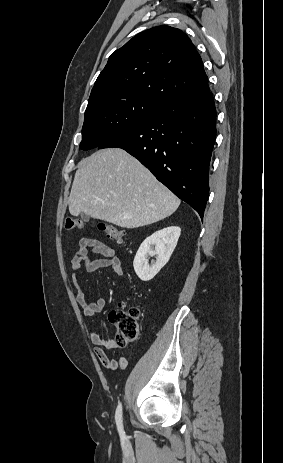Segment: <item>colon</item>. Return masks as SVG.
Instances as JSON below:
<instances>
[{"instance_id": "5ec220e1", "label": "colon", "mask_w": 283, "mask_h": 463, "mask_svg": "<svg viewBox=\"0 0 283 463\" xmlns=\"http://www.w3.org/2000/svg\"><path fill=\"white\" fill-rule=\"evenodd\" d=\"M83 226V221L77 218H67L65 222L67 230L82 229ZM96 226L108 239L117 243L123 241L125 233L118 227L103 222H98ZM139 316L140 311L137 307L121 308L110 313V319L116 328L117 345L126 346L139 338Z\"/></svg>"}]
</instances>
